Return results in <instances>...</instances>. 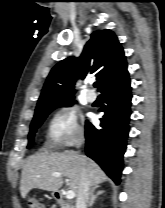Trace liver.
Here are the masks:
<instances>
[{
    "instance_id": "obj_1",
    "label": "liver",
    "mask_w": 165,
    "mask_h": 208,
    "mask_svg": "<svg viewBox=\"0 0 165 208\" xmlns=\"http://www.w3.org/2000/svg\"><path fill=\"white\" fill-rule=\"evenodd\" d=\"M90 186L98 187L107 180L102 169L90 158L75 153H52L40 151L27 158L20 180V193L25 198L33 188L57 192L63 185L62 176L69 179V187L77 196L82 173ZM61 174V177H55Z\"/></svg>"
}]
</instances>
